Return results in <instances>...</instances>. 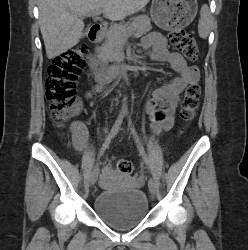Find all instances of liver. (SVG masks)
I'll return each instance as SVG.
<instances>
[{
  "instance_id": "1",
  "label": "liver",
  "mask_w": 248,
  "mask_h": 250,
  "mask_svg": "<svg viewBox=\"0 0 248 250\" xmlns=\"http://www.w3.org/2000/svg\"><path fill=\"white\" fill-rule=\"evenodd\" d=\"M150 0H39V25L46 55L53 59L78 44L82 16L103 10L105 17L122 20L139 12Z\"/></svg>"
}]
</instances>
